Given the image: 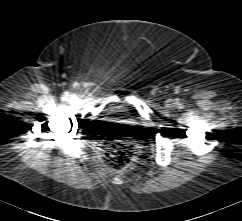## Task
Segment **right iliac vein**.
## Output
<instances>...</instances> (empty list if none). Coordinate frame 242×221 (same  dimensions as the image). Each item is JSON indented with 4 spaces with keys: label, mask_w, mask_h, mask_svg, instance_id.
Returning a JSON list of instances; mask_svg holds the SVG:
<instances>
[{
    "label": "right iliac vein",
    "mask_w": 242,
    "mask_h": 221,
    "mask_svg": "<svg viewBox=\"0 0 242 221\" xmlns=\"http://www.w3.org/2000/svg\"><path fill=\"white\" fill-rule=\"evenodd\" d=\"M69 99L74 100L75 98H74V96L71 95V96H69Z\"/></svg>",
    "instance_id": "right-iliac-vein-1"
}]
</instances>
